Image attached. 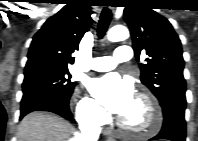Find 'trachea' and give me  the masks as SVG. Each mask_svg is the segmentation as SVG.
I'll return each instance as SVG.
<instances>
[{"mask_svg": "<svg viewBox=\"0 0 198 141\" xmlns=\"http://www.w3.org/2000/svg\"><path fill=\"white\" fill-rule=\"evenodd\" d=\"M111 18H112L111 11L108 8H104L101 13L98 29H97V35L100 39L105 36Z\"/></svg>", "mask_w": 198, "mask_h": 141, "instance_id": "trachea-1", "label": "trachea"}]
</instances>
